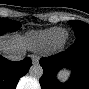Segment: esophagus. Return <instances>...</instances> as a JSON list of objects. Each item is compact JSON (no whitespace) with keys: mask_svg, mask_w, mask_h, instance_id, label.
<instances>
[{"mask_svg":"<svg viewBox=\"0 0 89 89\" xmlns=\"http://www.w3.org/2000/svg\"><path fill=\"white\" fill-rule=\"evenodd\" d=\"M32 61H33V64H37L39 62V57L36 56V55H32Z\"/></svg>","mask_w":89,"mask_h":89,"instance_id":"34e87169","label":"esophagus"}]
</instances>
